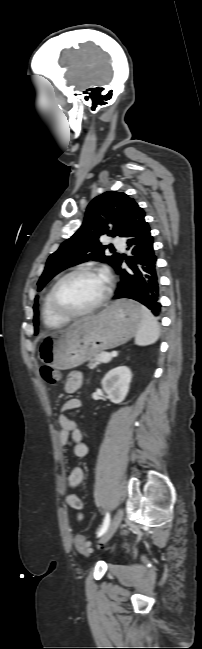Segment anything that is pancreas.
I'll return each mask as SVG.
<instances>
[{
    "mask_svg": "<svg viewBox=\"0 0 202 649\" xmlns=\"http://www.w3.org/2000/svg\"><path fill=\"white\" fill-rule=\"evenodd\" d=\"M102 353H105V352H100V353L96 354L93 358H91V359L89 360L88 367H89L90 369H94V368L97 367L99 364L103 363L102 360H101V354H102Z\"/></svg>",
    "mask_w": 202,
    "mask_h": 649,
    "instance_id": "cf45deb5",
    "label": "pancreas"
}]
</instances>
